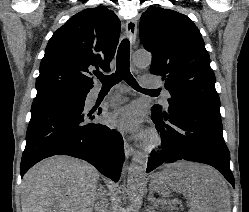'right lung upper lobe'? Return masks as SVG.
<instances>
[{
	"label": "right lung upper lobe",
	"mask_w": 249,
	"mask_h": 212,
	"mask_svg": "<svg viewBox=\"0 0 249 212\" xmlns=\"http://www.w3.org/2000/svg\"><path fill=\"white\" fill-rule=\"evenodd\" d=\"M121 23L106 7L85 9L70 18L49 40L36 80L37 95L89 92L92 69L110 71Z\"/></svg>",
	"instance_id": "right-lung-upper-lobe-1"
}]
</instances>
